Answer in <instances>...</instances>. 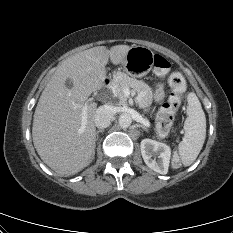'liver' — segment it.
I'll list each match as a JSON object with an SVG mask.
<instances>
[{"mask_svg":"<svg viewBox=\"0 0 233 233\" xmlns=\"http://www.w3.org/2000/svg\"><path fill=\"white\" fill-rule=\"evenodd\" d=\"M130 48L97 46L70 56L59 65L43 90L34 113L33 143L43 162L58 175L76 174L92 162L97 107L86 101L104 85L108 60L114 65L122 64ZM67 79L73 83L71 88L65 85ZM85 104L87 123L81 130Z\"/></svg>","mask_w":233,"mask_h":233,"instance_id":"obj_1","label":"liver"}]
</instances>
